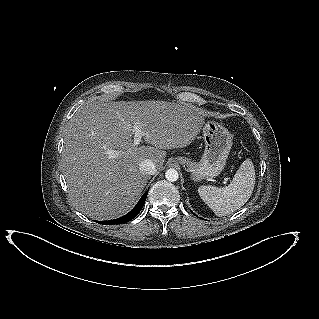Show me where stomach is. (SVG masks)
Returning a JSON list of instances; mask_svg holds the SVG:
<instances>
[{
  "label": "stomach",
  "mask_w": 319,
  "mask_h": 319,
  "mask_svg": "<svg viewBox=\"0 0 319 319\" xmlns=\"http://www.w3.org/2000/svg\"><path fill=\"white\" fill-rule=\"evenodd\" d=\"M205 151L199 162L187 157H176L174 162L187 167L195 181L217 177L224 169L231 150L232 135L220 123L206 120L202 124Z\"/></svg>",
  "instance_id": "obj_1"
}]
</instances>
